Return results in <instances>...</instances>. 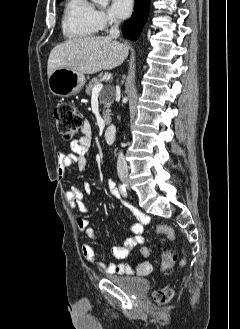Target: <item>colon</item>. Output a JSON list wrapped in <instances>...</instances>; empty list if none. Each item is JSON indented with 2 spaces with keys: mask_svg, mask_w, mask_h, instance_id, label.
<instances>
[{
  "mask_svg": "<svg viewBox=\"0 0 240 329\" xmlns=\"http://www.w3.org/2000/svg\"><path fill=\"white\" fill-rule=\"evenodd\" d=\"M55 119L60 135L65 139H71L83 125V118L79 111L69 103H60L54 110ZM157 235L164 236L166 239L172 240L175 237L174 231L171 227L166 225H159L156 227ZM177 260L176 254L169 248L164 249L161 258V267L163 270L171 268ZM185 263L183 257L180 261ZM172 290L165 288L154 292V300L158 303H165L172 297Z\"/></svg>",
  "mask_w": 240,
  "mask_h": 329,
  "instance_id": "colon-1",
  "label": "colon"
}]
</instances>
